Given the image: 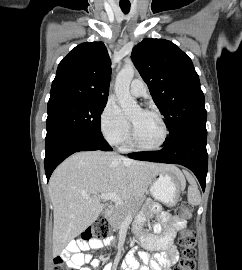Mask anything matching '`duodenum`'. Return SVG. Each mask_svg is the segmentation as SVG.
Wrapping results in <instances>:
<instances>
[{
    "mask_svg": "<svg viewBox=\"0 0 242 270\" xmlns=\"http://www.w3.org/2000/svg\"><path fill=\"white\" fill-rule=\"evenodd\" d=\"M111 213H112V207H109V208H107L106 211H105V216H106V217H109V216L111 215Z\"/></svg>",
    "mask_w": 242,
    "mask_h": 270,
    "instance_id": "duodenum-1",
    "label": "duodenum"
}]
</instances>
